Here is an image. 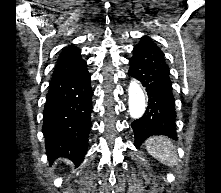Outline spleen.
<instances>
[{"label": "spleen", "instance_id": "obj_1", "mask_svg": "<svg viewBox=\"0 0 221 193\" xmlns=\"http://www.w3.org/2000/svg\"><path fill=\"white\" fill-rule=\"evenodd\" d=\"M146 150L162 164L177 165V154L172 141L164 136H153L146 141Z\"/></svg>", "mask_w": 221, "mask_h": 193}]
</instances>
